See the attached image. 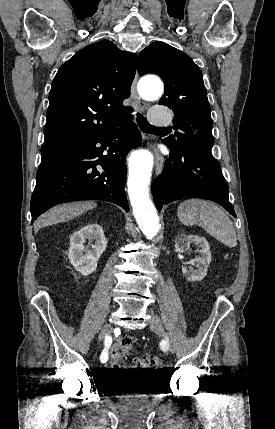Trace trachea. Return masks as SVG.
I'll list each match as a JSON object with an SVG mask.
<instances>
[{
  "mask_svg": "<svg viewBox=\"0 0 275 429\" xmlns=\"http://www.w3.org/2000/svg\"><path fill=\"white\" fill-rule=\"evenodd\" d=\"M137 124L139 126V128L145 132V133H154V132H159V131H168L169 128H160V127H155L149 124V122L147 121V119L140 113H137Z\"/></svg>",
  "mask_w": 275,
  "mask_h": 429,
  "instance_id": "3493384b",
  "label": "trachea"
}]
</instances>
